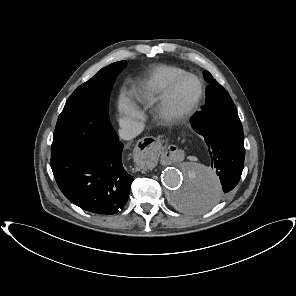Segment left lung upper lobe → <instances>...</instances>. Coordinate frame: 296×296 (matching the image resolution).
Listing matches in <instances>:
<instances>
[{
  "label": "left lung upper lobe",
  "mask_w": 296,
  "mask_h": 296,
  "mask_svg": "<svg viewBox=\"0 0 296 296\" xmlns=\"http://www.w3.org/2000/svg\"><path fill=\"white\" fill-rule=\"evenodd\" d=\"M204 78L210 83L206 88V101L215 96L228 93L216 80H212L211 74L208 71L204 73Z\"/></svg>",
  "instance_id": "obj_1"
}]
</instances>
